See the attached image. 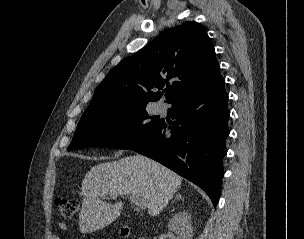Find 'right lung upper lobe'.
Returning a JSON list of instances; mask_svg holds the SVG:
<instances>
[{"mask_svg":"<svg viewBox=\"0 0 304 239\" xmlns=\"http://www.w3.org/2000/svg\"><path fill=\"white\" fill-rule=\"evenodd\" d=\"M220 70L204 28L188 21L167 29L135 55L122 60L101 82L81 118L126 105H146L162 96L153 88L169 87L170 102ZM165 90H163L164 92Z\"/></svg>","mask_w":304,"mask_h":239,"instance_id":"cb5924a9","label":"right lung upper lobe"}]
</instances>
